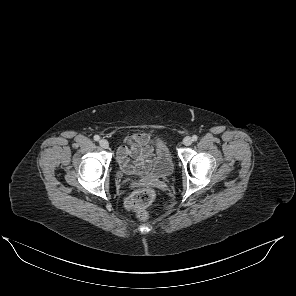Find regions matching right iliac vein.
<instances>
[{
	"label": "right iliac vein",
	"mask_w": 296,
	"mask_h": 296,
	"mask_svg": "<svg viewBox=\"0 0 296 296\" xmlns=\"http://www.w3.org/2000/svg\"><path fill=\"white\" fill-rule=\"evenodd\" d=\"M99 144H100V146H101L102 148H104V149H107V148L109 147V143H108V141H107L106 139H101V140L99 141Z\"/></svg>",
	"instance_id": "right-iliac-vein-1"
}]
</instances>
